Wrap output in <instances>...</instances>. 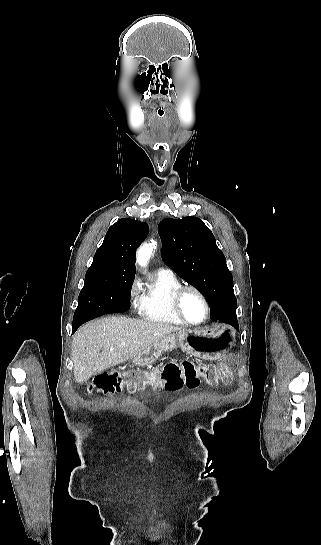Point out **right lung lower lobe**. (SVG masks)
<instances>
[{
	"mask_svg": "<svg viewBox=\"0 0 321 545\" xmlns=\"http://www.w3.org/2000/svg\"><path fill=\"white\" fill-rule=\"evenodd\" d=\"M129 308H130V295H125V296L118 297L113 303H111L107 312L108 313L125 312ZM89 320L91 319L85 318L78 321H73L72 332L74 333L80 325H82L83 323Z\"/></svg>",
	"mask_w": 321,
	"mask_h": 545,
	"instance_id": "right-lung-lower-lobe-1",
	"label": "right lung lower lobe"
}]
</instances>
